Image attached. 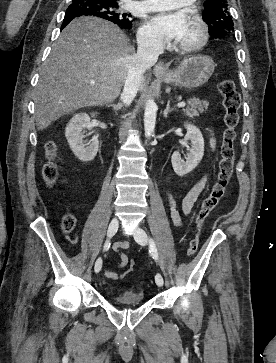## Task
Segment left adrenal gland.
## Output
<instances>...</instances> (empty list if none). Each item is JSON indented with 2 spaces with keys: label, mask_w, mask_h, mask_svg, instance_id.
Masks as SVG:
<instances>
[{
  "label": "left adrenal gland",
  "mask_w": 276,
  "mask_h": 363,
  "mask_svg": "<svg viewBox=\"0 0 276 363\" xmlns=\"http://www.w3.org/2000/svg\"><path fill=\"white\" fill-rule=\"evenodd\" d=\"M176 110V108H171L170 107V101H168V103H167V106H166V109L164 110V118H167L168 117V114L170 113V112H172V111H175Z\"/></svg>",
  "instance_id": "a2214340"
}]
</instances>
